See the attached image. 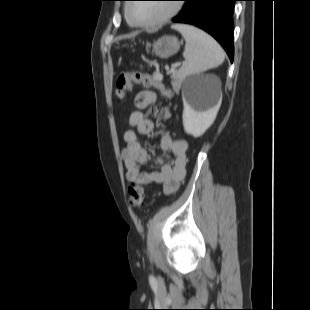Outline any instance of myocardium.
Returning <instances> with one entry per match:
<instances>
[{"mask_svg":"<svg viewBox=\"0 0 310 310\" xmlns=\"http://www.w3.org/2000/svg\"><path fill=\"white\" fill-rule=\"evenodd\" d=\"M132 5L133 4H127L125 7L126 18L131 25H134L140 28H155V27L162 26L163 24L171 20L174 16H176L181 10V6L179 4L173 3L171 4V7L168 13L164 15L163 17L155 21H152V22H139V21L134 20L130 14V8Z\"/></svg>","mask_w":310,"mask_h":310,"instance_id":"obj_1","label":"myocardium"}]
</instances>
